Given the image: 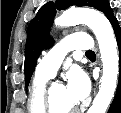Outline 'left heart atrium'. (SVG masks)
<instances>
[{
  "instance_id": "1",
  "label": "left heart atrium",
  "mask_w": 121,
  "mask_h": 113,
  "mask_svg": "<svg viewBox=\"0 0 121 113\" xmlns=\"http://www.w3.org/2000/svg\"><path fill=\"white\" fill-rule=\"evenodd\" d=\"M66 90L75 104L83 101L90 91L87 75L80 69H73L68 74Z\"/></svg>"
}]
</instances>
